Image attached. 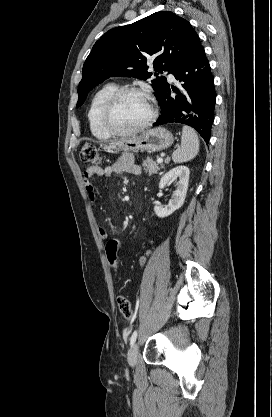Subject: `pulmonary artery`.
<instances>
[{
  "instance_id": "1",
  "label": "pulmonary artery",
  "mask_w": 272,
  "mask_h": 417,
  "mask_svg": "<svg viewBox=\"0 0 272 417\" xmlns=\"http://www.w3.org/2000/svg\"><path fill=\"white\" fill-rule=\"evenodd\" d=\"M168 78H169V80L170 81H174L175 80V77H174V75L173 74H168Z\"/></svg>"
}]
</instances>
